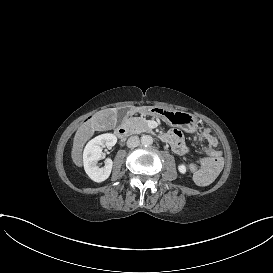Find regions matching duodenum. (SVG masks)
<instances>
[{
	"mask_svg": "<svg viewBox=\"0 0 273 273\" xmlns=\"http://www.w3.org/2000/svg\"><path fill=\"white\" fill-rule=\"evenodd\" d=\"M140 110L138 108H131L130 109V113L134 114L139 112ZM116 135L119 139H125L128 135V129L126 126L124 125H120L117 129H116Z\"/></svg>",
	"mask_w": 273,
	"mask_h": 273,
	"instance_id": "410a0bca",
	"label": "duodenum"
}]
</instances>
